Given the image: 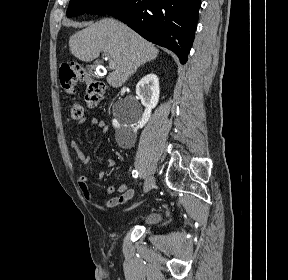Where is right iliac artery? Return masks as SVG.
Segmentation results:
<instances>
[{"mask_svg": "<svg viewBox=\"0 0 288 280\" xmlns=\"http://www.w3.org/2000/svg\"><path fill=\"white\" fill-rule=\"evenodd\" d=\"M132 176H133L134 178H137V177H138V172H137L136 170H133V171H132Z\"/></svg>", "mask_w": 288, "mask_h": 280, "instance_id": "82829eb1", "label": "right iliac artery"}]
</instances>
